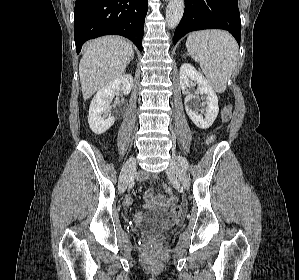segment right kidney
I'll return each mask as SVG.
<instances>
[{
    "label": "right kidney",
    "instance_id": "right-kidney-1",
    "mask_svg": "<svg viewBox=\"0 0 299 280\" xmlns=\"http://www.w3.org/2000/svg\"><path fill=\"white\" fill-rule=\"evenodd\" d=\"M132 86L133 77L130 74H124L98 90L91 101L88 116L90 129L95 134H103L114 124L115 118L111 114L105 117L109 112L110 103L118 91L128 94Z\"/></svg>",
    "mask_w": 299,
    "mask_h": 280
}]
</instances>
